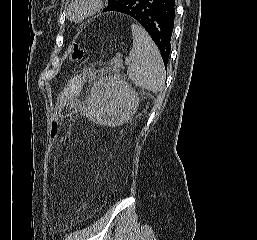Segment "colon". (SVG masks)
Masks as SVG:
<instances>
[{"instance_id": "colon-1", "label": "colon", "mask_w": 257, "mask_h": 240, "mask_svg": "<svg viewBox=\"0 0 257 240\" xmlns=\"http://www.w3.org/2000/svg\"><path fill=\"white\" fill-rule=\"evenodd\" d=\"M83 57V50L79 45H74L70 51V60L77 62ZM61 114L55 110L51 118V124L49 127V137L54 140L56 139L61 131Z\"/></svg>"}]
</instances>
